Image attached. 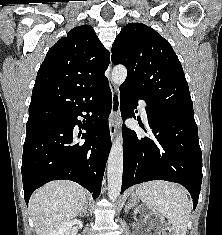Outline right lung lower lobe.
<instances>
[{
  "label": "right lung lower lobe",
  "mask_w": 222,
  "mask_h": 235,
  "mask_svg": "<svg viewBox=\"0 0 222 235\" xmlns=\"http://www.w3.org/2000/svg\"><path fill=\"white\" fill-rule=\"evenodd\" d=\"M42 93L52 101L53 110L49 123L26 132L21 167L26 204L35 189L58 179L75 181L97 198L111 149L108 79L62 99L52 97V90ZM78 116L86 121L82 124ZM80 138L85 140L78 142Z\"/></svg>",
  "instance_id": "right-lung-lower-lobe-1"
}]
</instances>
